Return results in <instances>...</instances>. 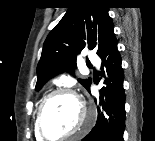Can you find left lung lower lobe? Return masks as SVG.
Wrapping results in <instances>:
<instances>
[{
    "label": "left lung lower lobe",
    "instance_id": "1",
    "mask_svg": "<svg viewBox=\"0 0 155 141\" xmlns=\"http://www.w3.org/2000/svg\"><path fill=\"white\" fill-rule=\"evenodd\" d=\"M98 56L107 72V78L104 80L106 87L100 90L99 105L102 111L98 108L96 125L82 141H123L125 129L124 73L115 35L108 40Z\"/></svg>",
    "mask_w": 155,
    "mask_h": 141
}]
</instances>
